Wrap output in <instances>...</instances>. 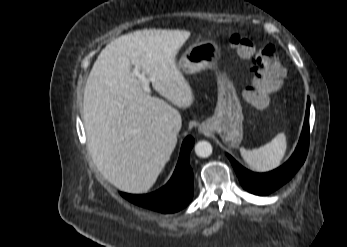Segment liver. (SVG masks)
<instances>
[{"label":"liver","instance_id":"obj_1","mask_svg":"<svg viewBox=\"0 0 347 247\" xmlns=\"http://www.w3.org/2000/svg\"><path fill=\"white\" fill-rule=\"evenodd\" d=\"M189 31L144 29L111 41L95 61L84 89L83 120L89 153L119 190L147 192L177 143L182 120L165 100L145 92L131 65L179 108L194 102L175 56Z\"/></svg>","mask_w":347,"mask_h":247}]
</instances>
